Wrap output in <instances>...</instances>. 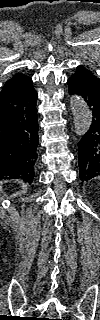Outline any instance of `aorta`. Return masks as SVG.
I'll use <instances>...</instances> for the list:
<instances>
[{"label":"aorta","mask_w":100,"mask_h":320,"mask_svg":"<svg viewBox=\"0 0 100 320\" xmlns=\"http://www.w3.org/2000/svg\"><path fill=\"white\" fill-rule=\"evenodd\" d=\"M70 107L73 114L75 133L78 136H83L91 125L92 111L85 100L78 95L70 97Z\"/></svg>","instance_id":"1"}]
</instances>
